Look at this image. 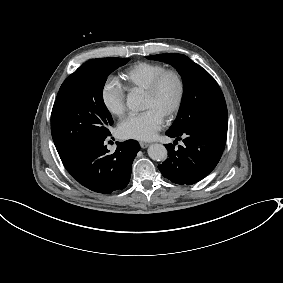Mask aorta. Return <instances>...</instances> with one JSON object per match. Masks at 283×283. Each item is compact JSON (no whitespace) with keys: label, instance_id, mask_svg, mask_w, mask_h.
<instances>
[{"label":"aorta","instance_id":"obj_1","mask_svg":"<svg viewBox=\"0 0 283 283\" xmlns=\"http://www.w3.org/2000/svg\"><path fill=\"white\" fill-rule=\"evenodd\" d=\"M126 105L133 111H140L143 109V102L140 95L137 93H129L126 100ZM148 155L155 161H164L167 158V149L162 144H152L148 148Z\"/></svg>","mask_w":283,"mask_h":283}]
</instances>
